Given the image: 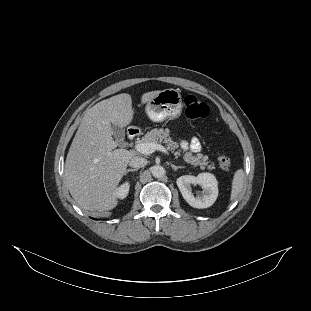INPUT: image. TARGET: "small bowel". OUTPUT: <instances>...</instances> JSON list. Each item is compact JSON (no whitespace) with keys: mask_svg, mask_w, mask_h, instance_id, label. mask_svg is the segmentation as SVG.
I'll list each match as a JSON object with an SVG mask.
<instances>
[{"mask_svg":"<svg viewBox=\"0 0 311 311\" xmlns=\"http://www.w3.org/2000/svg\"><path fill=\"white\" fill-rule=\"evenodd\" d=\"M181 148L183 150L190 149L192 152H199L201 145L197 138H193L189 143L186 141L181 142Z\"/></svg>","mask_w":311,"mask_h":311,"instance_id":"1","label":"small bowel"}]
</instances>
